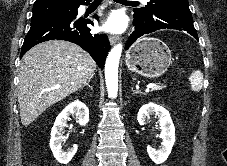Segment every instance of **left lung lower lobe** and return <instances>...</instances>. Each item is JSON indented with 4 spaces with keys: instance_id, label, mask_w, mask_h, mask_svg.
<instances>
[{
    "instance_id": "left-lung-lower-lobe-1",
    "label": "left lung lower lobe",
    "mask_w": 227,
    "mask_h": 166,
    "mask_svg": "<svg viewBox=\"0 0 227 166\" xmlns=\"http://www.w3.org/2000/svg\"><path fill=\"white\" fill-rule=\"evenodd\" d=\"M133 25L135 30L125 45L126 50L139 37L161 29L183 30L199 40L188 4L155 7L148 16L144 17L134 13Z\"/></svg>"
}]
</instances>
